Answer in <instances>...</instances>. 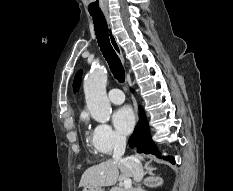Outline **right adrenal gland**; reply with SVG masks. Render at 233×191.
Returning a JSON list of instances; mask_svg holds the SVG:
<instances>
[{"mask_svg":"<svg viewBox=\"0 0 233 191\" xmlns=\"http://www.w3.org/2000/svg\"><path fill=\"white\" fill-rule=\"evenodd\" d=\"M145 170H146V173H148L150 175V178L146 179V182L147 183H150V179H153L154 178V173L153 171L156 170V168H154L152 165H151V161L147 162L145 164Z\"/></svg>","mask_w":233,"mask_h":191,"instance_id":"1","label":"right adrenal gland"}]
</instances>
